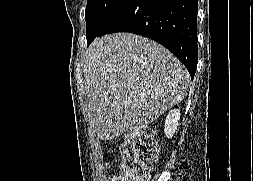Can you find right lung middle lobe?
<instances>
[{
    "label": "right lung middle lobe",
    "mask_w": 253,
    "mask_h": 181,
    "mask_svg": "<svg viewBox=\"0 0 253 181\" xmlns=\"http://www.w3.org/2000/svg\"><path fill=\"white\" fill-rule=\"evenodd\" d=\"M130 0H88L85 19L87 35L101 31Z\"/></svg>",
    "instance_id": "1"
}]
</instances>
